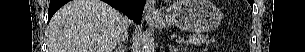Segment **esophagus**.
Here are the masks:
<instances>
[{"mask_svg": "<svg viewBox=\"0 0 305 52\" xmlns=\"http://www.w3.org/2000/svg\"><path fill=\"white\" fill-rule=\"evenodd\" d=\"M144 16L147 21H152L160 17V13L156 9V2L154 0H147Z\"/></svg>", "mask_w": 305, "mask_h": 52, "instance_id": "1", "label": "esophagus"}]
</instances>
